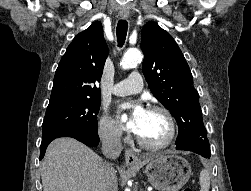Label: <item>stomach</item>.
I'll return each mask as SVG.
<instances>
[{
	"instance_id": "1",
	"label": "stomach",
	"mask_w": 251,
	"mask_h": 191,
	"mask_svg": "<svg viewBox=\"0 0 251 191\" xmlns=\"http://www.w3.org/2000/svg\"><path fill=\"white\" fill-rule=\"evenodd\" d=\"M146 155L140 159L139 165H133L134 171H139L145 165ZM151 185L159 191H178L191 175V165L187 159L176 153H158L153 155L144 169Z\"/></svg>"
}]
</instances>
